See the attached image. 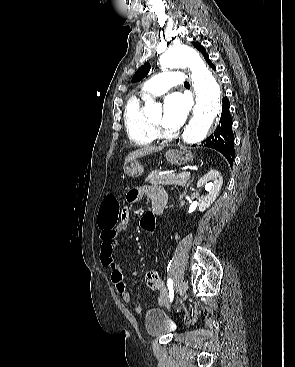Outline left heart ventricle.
Masks as SVG:
<instances>
[{"label":"left heart ventricle","mask_w":295,"mask_h":367,"mask_svg":"<svg viewBox=\"0 0 295 367\" xmlns=\"http://www.w3.org/2000/svg\"><path fill=\"white\" fill-rule=\"evenodd\" d=\"M151 122L155 123V124H160L162 121V113H158L156 115H154L151 119Z\"/></svg>","instance_id":"obj_1"}]
</instances>
